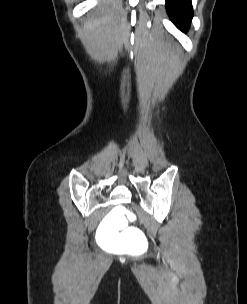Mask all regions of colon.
I'll list each match as a JSON object with an SVG mask.
<instances>
[{"mask_svg": "<svg viewBox=\"0 0 247 304\" xmlns=\"http://www.w3.org/2000/svg\"><path fill=\"white\" fill-rule=\"evenodd\" d=\"M137 220L138 215L131 214L129 206H115L99 220L94 240L103 253H145L149 239L142 225H130Z\"/></svg>", "mask_w": 247, "mask_h": 304, "instance_id": "colon-1", "label": "colon"}]
</instances>
